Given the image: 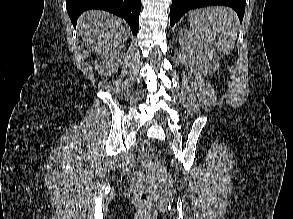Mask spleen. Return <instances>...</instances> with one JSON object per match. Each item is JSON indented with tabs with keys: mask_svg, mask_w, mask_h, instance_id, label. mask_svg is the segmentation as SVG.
<instances>
[{
	"mask_svg": "<svg viewBox=\"0 0 293 219\" xmlns=\"http://www.w3.org/2000/svg\"><path fill=\"white\" fill-rule=\"evenodd\" d=\"M188 21L196 37L223 54H230L238 32V18L228 7H207L189 13Z\"/></svg>",
	"mask_w": 293,
	"mask_h": 219,
	"instance_id": "obj_1",
	"label": "spleen"
}]
</instances>
